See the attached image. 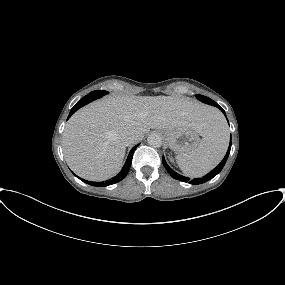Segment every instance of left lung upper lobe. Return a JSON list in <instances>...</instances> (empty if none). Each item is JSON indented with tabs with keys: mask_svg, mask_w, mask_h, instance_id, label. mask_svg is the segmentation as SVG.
<instances>
[{
	"mask_svg": "<svg viewBox=\"0 0 285 285\" xmlns=\"http://www.w3.org/2000/svg\"><path fill=\"white\" fill-rule=\"evenodd\" d=\"M196 97H197L198 100H200V101H202V102H204L206 104L213 105V106H216V107L218 105L216 102H214L212 99H210V98H208L206 96L197 94Z\"/></svg>",
	"mask_w": 285,
	"mask_h": 285,
	"instance_id": "1",
	"label": "left lung upper lobe"
}]
</instances>
